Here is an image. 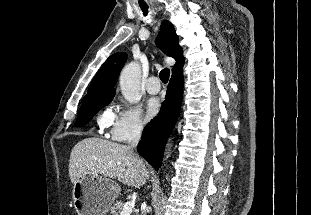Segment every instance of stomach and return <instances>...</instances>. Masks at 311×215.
<instances>
[{
  "instance_id": "stomach-1",
  "label": "stomach",
  "mask_w": 311,
  "mask_h": 215,
  "mask_svg": "<svg viewBox=\"0 0 311 215\" xmlns=\"http://www.w3.org/2000/svg\"><path fill=\"white\" fill-rule=\"evenodd\" d=\"M119 192L114 181L85 173L74 183L73 204L79 215H105Z\"/></svg>"
}]
</instances>
